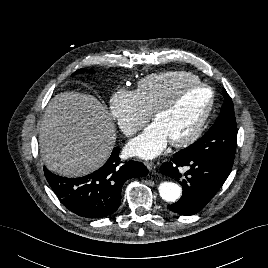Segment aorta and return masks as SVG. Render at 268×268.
Segmentation results:
<instances>
[{"instance_id": "762f6f07", "label": "aorta", "mask_w": 268, "mask_h": 268, "mask_svg": "<svg viewBox=\"0 0 268 268\" xmlns=\"http://www.w3.org/2000/svg\"><path fill=\"white\" fill-rule=\"evenodd\" d=\"M158 189L161 198L167 202H175L182 193L181 187L173 182H162Z\"/></svg>"}]
</instances>
